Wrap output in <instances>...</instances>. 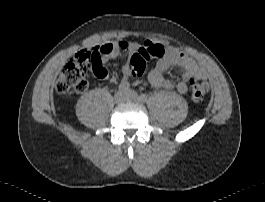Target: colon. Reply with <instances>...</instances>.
<instances>
[{"label": "colon", "mask_w": 265, "mask_h": 202, "mask_svg": "<svg viewBox=\"0 0 265 202\" xmlns=\"http://www.w3.org/2000/svg\"><path fill=\"white\" fill-rule=\"evenodd\" d=\"M110 50H112V45L107 44L78 53L61 70L55 84L56 90L60 93L85 91L88 85L87 75L90 71L98 76L105 74L106 71L99 61V54ZM164 53V47L160 44H146L133 52L129 57L132 77L138 81L143 75L147 63L162 57ZM189 85L192 99L195 102L202 101L208 92L207 81L203 78H194Z\"/></svg>", "instance_id": "5ec220e1"}]
</instances>
